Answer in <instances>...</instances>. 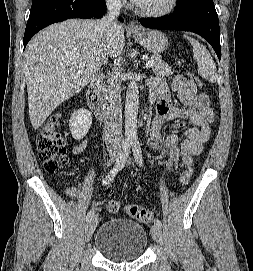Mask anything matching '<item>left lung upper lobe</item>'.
I'll return each mask as SVG.
<instances>
[{"instance_id": "obj_1", "label": "left lung upper lobe", "mask_w": 253, "mask_h": 271, "mask_svg": "<svg viewBox=\"0 0 253 271\" xmlns=\"http://www.w3.org/2000/svg\"><path fill=\"white\" fill-rule=\"evenodd\" d=\"M182 1H185V0H178V3H182Z\"/></svg>"}]
</instances>
